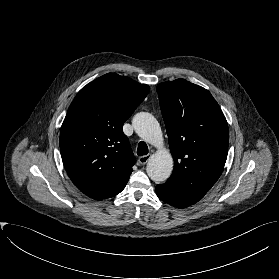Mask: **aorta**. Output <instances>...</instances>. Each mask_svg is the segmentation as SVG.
<instances>
[{"label": "aorta", "instance_id": "1", "mask_svg": "<svg viewBox=\"0 0 279 279\" xmlns=\"http://www.w3.org/2000/svg\"><path fill=\"white\" fill-rule=\"evenodd\" d=\"M135 132L146 142L161 146L163 142L162 131L155 117L147 112H140L133 118ZM173 170V158L169 151L159 149L147 164V174L155 182L167 180Z\"/></svg>", "mask_w": 279, "mask_h": 279}]
</instances>
